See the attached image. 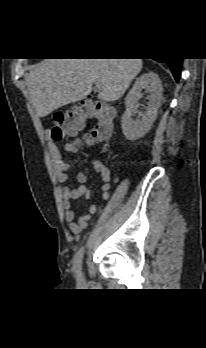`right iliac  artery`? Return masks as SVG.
<instances>
[{
    "label": "right iliac artery",
    "mask_w": 206,
    "mask_h": 348,
    "mask_svg": "<svg viewBox=\"0 0 206 348\" xmlns=\"http://www.w3.org/2000/svg\"><path fill=\"white\" fill-rule=\"evenodd\" d=\"M84 248L82 247L78 253L76 254L74 261V268L77 278L81 276V266H82V258H83Z\"/></svg>",
    "instance_id": "right-iliac-artery-1"
}]
</instances>
